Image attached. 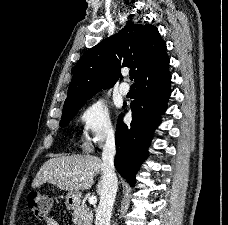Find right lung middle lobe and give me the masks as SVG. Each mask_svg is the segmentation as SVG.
I'll return each mask as SVG.
<instances>
[{"mask_svg": "<svg viewBox=\"0 0 228 225\" xmlns=\"http://www.w3.org/2000/svg\"><path fill=\"white\" fill-rule=\"evenodd\" d=\"M86 101L63 108L60 126H66Z\"/></svg>", "mask_w": 228, "mask_h": 225, "instance_id": "obj_1", "label": "right lung middle lobe"}]
</instances>
